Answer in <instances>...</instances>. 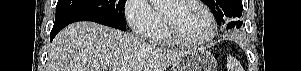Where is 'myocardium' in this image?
<instances>
[{"mask_svg": "<svg viewBox=\"0 0 301 71\" xmlns=\"http://www.w3.org/2000/svg\"><path fill=\"white\" fill-rule=\"evenodd\" d=\"M171 1L180 2V3L187 2V3H192V4L199 6L200 8H202L204 10V12L206 13V15L209 19V22H210V31L205 38H203L201 40H191V39L185 38L178 31V29L172 23L170 18L163 12V10H161L165 29H166L168 35L172 38V40L178 44H181L184 46H191V47H201V46H205V45L209 44L214 39L216 32H217V22H216V19H215L213 13L211 12V10L202 1H198V0H171Z\"/></svg>", "mask_w": 301, "mask_h": 71, "instance_id": "myocardium-1", "label": "myocardium"}]
</instances>
